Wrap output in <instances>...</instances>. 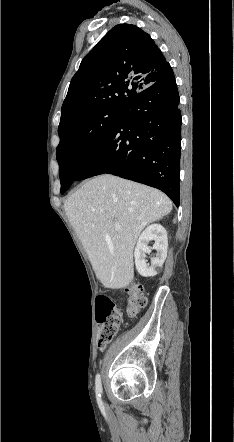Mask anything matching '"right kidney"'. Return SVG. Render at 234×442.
I'll use <instances>...</instances> for the list:
<instances>
[{"mask_svg":"<svg viewBox=\"0 0 234 442\" xmlns=\"http://www.w3.org/2000/svg\"><path fill=\"white\" fill-rule=\"evenodd\" d=\"M150 241H154L152 248L148 246ZM152 249L156 250V254L151 258V264H147L146 254H150ZM167 249L168 238L165 228L160 224L148 226L139 236L134 251L135 265L139 274L143 277L155 276L167 257Z\"/></svg>","mask_w":234,"mask_h":442,"instance_id":"obj_1","label":"right kidney"}]
</instances>
